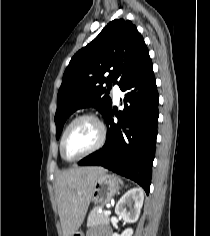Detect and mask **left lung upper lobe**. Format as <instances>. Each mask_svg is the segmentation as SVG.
Here are the masks:
<instances>
[{
	"mask_svg": "<svg viewBox=\"0 0 210 236\" xmlns=\"http://www.w3.org/2000/svg\"><path fill=\"white\" fill-rule=\"evenodd\" d=\"M150 59L143 37L129 20L111 21L87 46L79 50L66 68L57 95L55 114L58 139L66 119L77 109L96 107L104 118L112 110L103 86L121 88ZM108 72V79L105 73Z\"/></svg>",
	"mask_w": 210,
	"mask_h": 236,
	"instance_id": "5c2ea615",
	"label": "left lung upper lobe"
}]
</instances>
